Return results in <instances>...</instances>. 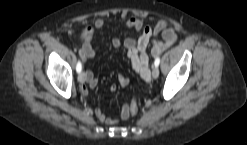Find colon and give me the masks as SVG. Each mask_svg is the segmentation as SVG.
I'll list each match as a JSON object with an SVG mask.
<instances>
[{
	"label": "colon",
	"mask_w": 247,
	"mask_h": 145,
	"mask_svg": "<svg viewBox=\"0 0 247 145\" xmlns=\"http://www.w3.org/2000/svg\"><path fill=\"white\" fill-rule=\"evenodd\" d=\"M82 38L84 40H89L91 38V30L90 29H85L82 32ZM139 110V106L138 103L136 101V99H132L129 106L127 107V109L125 110V116L126 118L129 116H136Z\"/></svg>",
	"instance_id": "colon-1"
}]
</instances>
